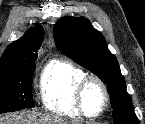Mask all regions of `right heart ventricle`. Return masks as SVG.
<instances>
[{"instance_id": "e07e8e85", "label": "right heart ventricle", "mask_w": 145, "mask_h": 124, "mask_svg": "<svg viewBox=\"0 0 145 124\" xmlns=\"http://www.w3.org/2000/svg\"><path fill=\"white\" fill-rule=\"evenodd\" d=\"M86 72L71 62L55 59L42 71L40 78V98L43 107L67 118H80L75 99L77 84Z\"/></svg>"}]
</instances>
